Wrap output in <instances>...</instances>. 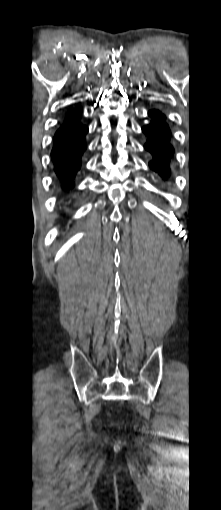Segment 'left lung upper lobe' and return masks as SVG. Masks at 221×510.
I'll return each instance as SVG.
<instances>
[{
	"instance_id": "left-lung-upper-lobe-1",
	"label": "left lung upper lobe",
	"mask_w": 221,
	"mask_h": 510,
	"mask_svg": "<svg viewBox=\"0 0 221 510\" xmlns=\"http://www.w3.org/2000/svg\"><path fill=\"white\" fill-rule=\"evenodd\" d=\"M149 114H151L153 117L157 118L161 122L165 123L164 122L165 116L161 112H159L157 110H152V111L149 112Z\"/></svg>"
}]
</instances>
